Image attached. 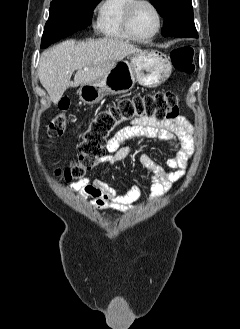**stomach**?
Instances as JSON below:
<instances>
[{
  "instance_id": "stomach-1",
  "label": "stomach",
  "mask_w": 240,
  "mask_h": 329,
  "mask_svg": "<svg viewBox=\"0 0 240 329\" xmlns=\"http://www.w3.org/2000/svg\"><path fill=\"white\" fill-rule=\"evenodd\" d=\"M172 65L165 54L157 50L134 53L127 60L119 61L100 79L81 85L78 90L81 101L93 105L106 95L130 91L136 82L148 88L163 84L171 74Z\"/></svg>"
}]
</instances>
